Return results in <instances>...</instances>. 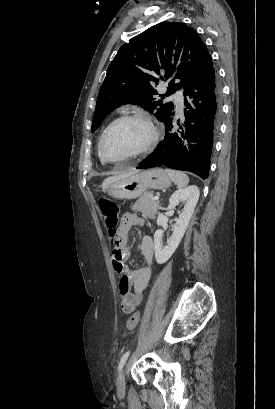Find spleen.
<instances>
[{"label": "spleen", "mask_w": 275, "mask_h": 409, "mask_svg": "<svg viewBox=\"0 0 275 409\" xmlns=\"http://www.w3.org/2000/svg\"><path fill=\"white\" fill-rule=\"evenodd\" d=\"M166 172L169 174L171 180L177 184L178 188L186 186L189 182V176L184 174V172H179V170H169V168H166Z\"/></svg>", "instance_id": "1"}]
</instances>
